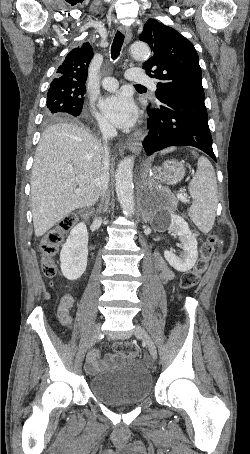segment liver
Returning <instances> with one entry per match:
<instances>
[{"label":"liver","mask_w":250,"mask_h":454,"mask_svg":"<svg viewBox=\"0 0 250 454\" xmlns=\"http://www.w3.org/2000/svg\"><path fill=\"white\" fill-rule=\"evenodd\" d=\"M104 154L101 143L77 125L58 123L43 132L31 173L37 237L72 211L97 202Z\"/></svg>","instance_id":"6515ba94"}]
</instances>
